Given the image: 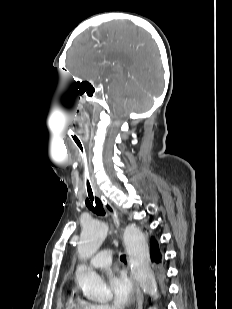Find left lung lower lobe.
<instances>
[{
    "mask_svg": "<svg viewBox=\"0 0 232 309\" xmlns=\"http://www.w3.org/2000/svg\"><path fill=\"white\" fill-rule=\"evenodd\" d=\"M150 258L158 274L163 277L165 274L163 251L156 237L150 240Z\"/></svg>",
    "mask_w": 232,
    "mask_h": 309,
    "instance_id": "left-lung-lower-lobe-1",
    "label": "left lung lower lobe"
}]
</instances>
